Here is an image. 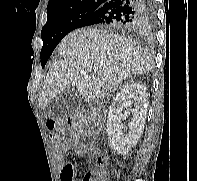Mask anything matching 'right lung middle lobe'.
<instances>
[{
	"label": "right lung middle lobe",
	"instance_id": "dd1d6c3e",
	"mask_svg": "<svg viewBox=\"0 0 197 181\" xmlns=\"http://www.w3.org/2000/svg\"><path fill=\"white\" fill-rule=\"evenodd\" d=\"M99 7V4H87L48 15L47 22L41 31V38L43 40L40 54L42 68L58 43L69 32L77 29L80 23Z\"/></svg>",
	"mask_w": 197,
	"mask_h": 181
}]
</instances>
